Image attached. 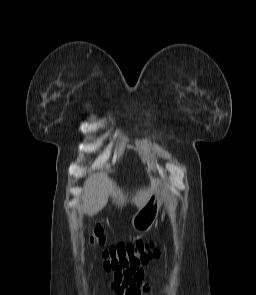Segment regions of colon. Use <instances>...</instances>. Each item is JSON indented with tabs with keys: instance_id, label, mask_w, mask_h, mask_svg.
<instances>
[{
	"instance_id": "5ec220e1",
	"label": "colon",
	"mask_w": 256,
	"mask_h": 295,
	"mask_svg": "<svg viewBox=\"0 0 256 295\" xmlns=\"http://www.w3.org/2000/svg\"><path fill=\"white\" fill-rule=\"evenodd\" d=\"M89 241L93 245H103L105 236L100 225L89 227ZM161 254L157 241L138 240L132 243L112 245L103 252L104 268L106 270L138 269L156 259Z\"/></svg>"
}]
</instances>
